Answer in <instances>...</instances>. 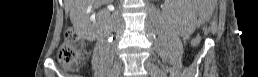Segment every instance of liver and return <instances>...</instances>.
I'll use <instances>...</instances> for the list:
<instances>
[{
    "mask_svg": "<svg viewBox=\"0 0 258 77\" xmlns=\"http://www.w3.org/2000/svg\"><path fill=\"white\" fill-rule=\"evenodd\" d=\"M96 1H100V0H65V9L67 11L70 10V18L72 20V22L74 23V13L73 11L78 12V8H84L88 5L93 4Z\"/></svg>",
    "mask_w": 258,
    "mask_h": 77,
    "instance_id": "1",
    "label": "liver"
}]
</instances>
